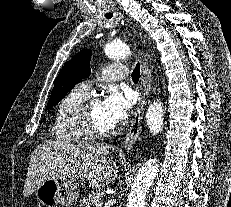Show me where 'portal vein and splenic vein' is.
I'll use <instances>...</instances> for the list:
<instances>
[{
	"mask_svg": "<svg viewBox=\"0 0 231 207\" xmlns=\"http://www.w3.org/2000/svg\"><path fill=\"white\" fill-rule=\"evenodd\" d=\"M95 206H96V207H100L101 204H100V203H95Z\"/></svg>",
	"mask_w": 231,
	"mask_h": 207,
	"instance_id": "18ae733b",
	"label": "portal vein and splenic vein"
}]
</instances>
